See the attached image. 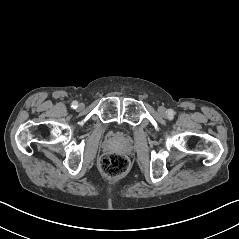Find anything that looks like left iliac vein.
<instances>
[{
  "mask_svg": "<svg viewBox=\"0 0 239 239\" xmlns=\"http://www.w3.org/2000/svg\"><path fill=\"white\" fill-rule=\"evenodd\" d=\"M158 112L161 116H166L167 115V110L165 107L161 106L158 108Z\"/></svg>",
  "mask_w": 239,
  "mask_h": 239,
  "instance_id": "obj_1",
  "label": "left iliac vein"
}]
</instances>
